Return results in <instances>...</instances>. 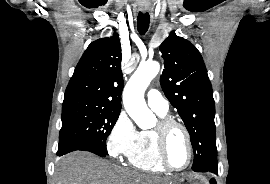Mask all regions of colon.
I'll list each match as a JSON object with an SVG mask.
<instances>
[{
  "instance_id": "1",
  "label": "colon",
  "mask_w": 270,
  "mask_h": 184,
  "mask_svg": "<svg viewBox=\"0 0 270 184\" xmlns=\"http://www.w3.org/2000/svg\"><path fill=\"white\" fill-rule=\"evenodd\" d=\"M209 184H216V181L214 179H211Z\"/></svg>"
}]
</instances>
